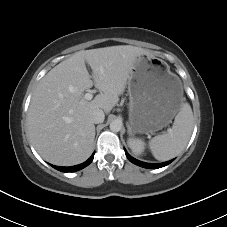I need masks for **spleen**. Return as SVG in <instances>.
Instances as JSON below:
<instances>
[{
    "instance_id": "obj_1",
    "label": "spleen",
    "mask_w": 227,
    "mask_h": 227,
    "mask_svg": "<svg viewBox=\"0 0 227 227\" xmlns=\"http://www.w3.org/2000/svg\"><path fill=\"white\" fill-rule=\"evenodd\" d=\"M193 126L192 109L187 102H184L175 116L172 128L149 141L153 156L159 161H166L179 155L189 142Z\"/></svg>"
}]
</instances>
